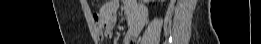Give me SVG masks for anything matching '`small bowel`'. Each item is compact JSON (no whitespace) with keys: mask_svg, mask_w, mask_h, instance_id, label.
Returning a JSON list of instances; mask_svg holds the SVG:
<instances>
[{"mask_svg":"<svg viewBox=\"0 0 261 44\" xmlns=\"http://www.w3.org/2000/svg\"><path fill=\"white\" fill-rule=\"evenodd\" d=\"M121 4L118 0H112L102 6L101 14L95 17V25L99 35L111 36L112 24L117 21V12ZM123 4L125 6L126 17L129 21L123 43L132 44L145 23L146 9L134 1H125Z\"/></svg>","mask_w":261,"mask_h":44,"instance_id":"1","label":"small bowel"}]
</instances>
